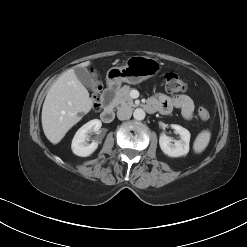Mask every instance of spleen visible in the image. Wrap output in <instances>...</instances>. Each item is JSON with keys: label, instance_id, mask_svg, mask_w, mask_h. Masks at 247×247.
<instances>
[{"label": "spleen", "instance_id": "spleen-1", "mask_svg": "<svg viewBox=\"0 0 247 247\" xmlns=\"http://www.w3.org/2000/svg\"><path fill=\"white\" fill-rule=\"evenodd\" d=\"M210 138H211V133L209 130H203L201 131L193 144V149L195 151V153L199 154L202 153L206 147L208 146L209 142H210Z\"/></svg>", "mask_w": 247, "mask_h": 247}]
</instances>
